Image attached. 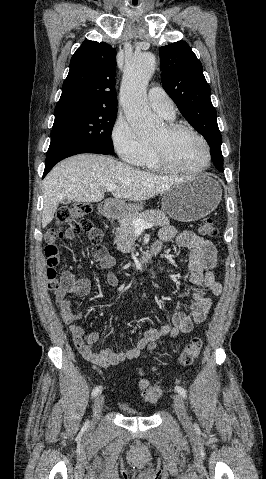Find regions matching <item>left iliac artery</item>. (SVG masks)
<instances>
[{
	"mask_svg": "<svg viewBox=\"0 0 266 479\" xmlns=\"http://www.w3.org/2000/svg\"><path fill=\"white\" fill-rule=\"evenodd\" d=\"M175 390H176L184 399L187 398L186 390H185L183 387H181V386H176V387H175Z\"/></svg>",
	"mask_w": 266,
	"mask_h": 479,
	"instance_id": "44dca946",
	"label": "left iliac artery"
}]
</instances>
